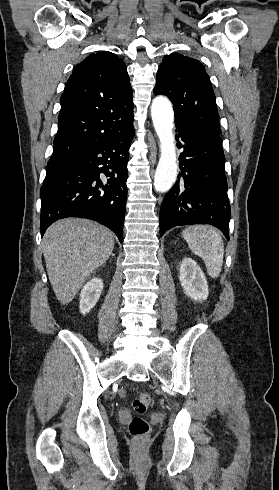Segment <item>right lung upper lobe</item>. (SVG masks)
Listing matches in <instances>:
<instances>
[{
    "label": "right lung upper lobe",
    "mask_w": 279,
    "mask_h": 490,
    "mask_svg": "<svg viewBox=\"0 0 279 490\" xmlns=\"http://www.w3.org/2000/svg\"><path fill=\"white\" fill-rule=\"evenodd\" d=\"M126 65L109 51L89 55L73 70L61 96L58 132L48 164L63 162L133 127Z\"/></svg>",
    "instance_id": "obj_1"
}]
</instances>
